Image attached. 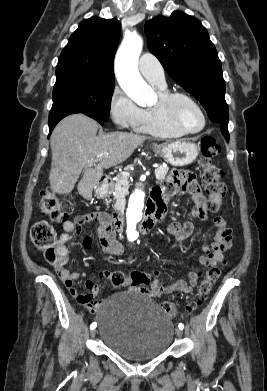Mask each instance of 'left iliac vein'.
Wrapping results in <instances>:
<instances>
[{"label": "left iliac vein", "mask_w": 267, "mask_h": 391, "mask_svg": "<svg viewBox=\"0 0 267 391\" xmlns=\"http://www.w3.org/2000/svg\"><path fill=\"white\" fill-rule=\"evenodd\" d=\"M176 334H177L178 337H182V335H183L182 329L177 328V329H176Z\"/></svg>", "instance_id": "4c4485c4"}]
</instances>
